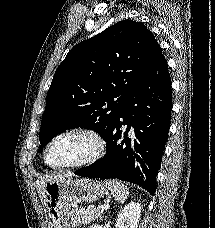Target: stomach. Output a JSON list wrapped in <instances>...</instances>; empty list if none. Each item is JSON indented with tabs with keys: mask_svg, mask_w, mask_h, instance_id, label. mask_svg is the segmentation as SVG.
I'll return each instance as SVG.
<instances>
[{
	"mask_svg": "<svg viewBox=\"0 0 215 228\" xmlns=\"http://www.w3.org/2000/svg\"><path fill=\"white\" fill-rule=\"evenodd\" d=\"M107 190L98 180L60 178L46 184V218L48 228H70L69 204L96 202Z\"/></svg>",
	"mask_w": 215,
	"mask_h": 228,
	"instance_id": "stomach-1",
	"label": "stomach"
}]
</instances>
